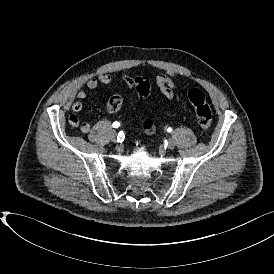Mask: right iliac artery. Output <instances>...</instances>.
<instances>
[{"label": "right iliac artery", "instance_id": "obj_1", "mask_svg": "<svg viewBox=\"0 0 274 274\" xmlns=\"http://www.w3.org/2000/svg\"><path fill=\"white\" fill-rule=\"evenodd\" d=\"M112 126L114 128H118L120 126V123L118 121H115V122H113ZM124 137H125V135H124L123 131H120L117 136V141L122 142L124 140Z\"/></svg>", "mask_w": 274, "mask_h": 274}]
</instances>
